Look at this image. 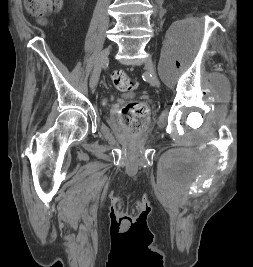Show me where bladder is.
Segmentation results:
<instances>
[{
    "label": "bladder",
    "instance_id": "bladder-1",
    "mask_svg": "<svg viewBox=\"0 0 253 267\" xmlns=\"http://www.w3.org/2000/svg\"><path fill=\"white\" fill-rule=\"evenodd\" d=\"M125 96H130V94L128 93V94H126ZM110 98L109 97H107V100H109Z\"/></svg>",
    "mask_w": 253,
    "mask_h": 267
}]
</instances>
